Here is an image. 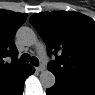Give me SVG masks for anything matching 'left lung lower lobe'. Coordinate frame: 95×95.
Masks as SVG:
<instances>
[{
  "mask_svg": "<svg viewBox=\"0 0 95 95\" xmlns=\"http://www.w3.org/2000/svg\"><path fill=\"white\" fill-rule=\"evenodd\" d=\"M47 95H95V83L68 76L56 77L55 85Z\"/></svg>",
  "mask_w": 95,
  "mask_h": 95,
  "instance_id": "left-lung-lower-lobe-1",
  "label": "left lung lower lobe"
}]
</instances>
